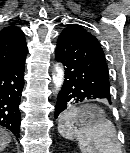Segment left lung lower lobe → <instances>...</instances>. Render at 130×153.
Here are the masks:
<instances>
[{
  "instance_id": "0a47b994",
  "label": "left lung lower lobe",
  "mask_w": 130,
  "mask_h": 153,
  "mask_svg": "<svg viewBox=\"0 0 130 153\" xmlns=\"http://www.w3.org/2000/svg\"><path fill=\"white\" fill-rule=\"evenodd\" d=\"M55 57L66 66L55 109L56 119L69 105L87 99H106L111 103L108 67L98 43L78 31H63Z\"/></svg>"
}]
</instances>
